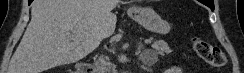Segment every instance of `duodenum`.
Masks as SVG:
<instances>
[{"instance_id":"obj_1","label":"duodenum","mask_w":244,"mask_h":73,"mask_svg":"<svg viewBox=\"0 0 244 73\" xmlns=\"http://www.w3.org/2000/svg\"><path fill=\"white\" fill-rule=\"evenodd\" d=\"M79 73H92V70L87 65H82L78 71Z\"/></svg>"}]
</instances>
